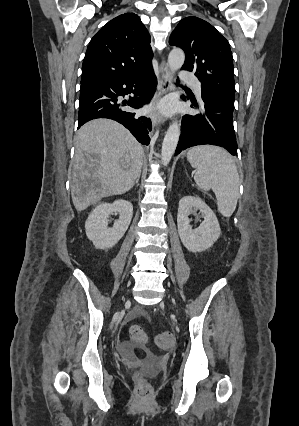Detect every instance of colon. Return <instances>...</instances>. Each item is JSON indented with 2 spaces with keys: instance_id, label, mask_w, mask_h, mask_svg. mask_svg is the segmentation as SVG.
Masks as SVG:
<instances>
[{
  "instance_id": "1",
  "label": "colon",
  "mask_w": 299,
  "mask_h": 426,
  "mask_svg": "<svg viewBox=\"0 0 299 426\" xmlns=\"http://www.w3.org/2000/svg\"><path fill=\"white\" fill-rule=\"evenodd\" d=\"M131 339L135 342L146 343L147 336L141 327L134 325L130 328ZM155 342L158 347L162 349H169L174 344V337L169 332H163L156 336ZM135 380V395L138 400L145 402L148 401L153 393L151 384L144 377L136 374L134 376Z\"/></svg>"
}]
</instances>
